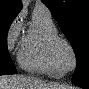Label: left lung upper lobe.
Masks as SVG:
<instances>
[{
	"label": "left lung upper lobe",
	"instance_id": "5c2ea615",
	"mask_svg": "<svg viewBox=\"0 0 89 89\" xmlns=\"http://www.w3.org/2000/svg\"><path fill=\"white\" fill-rule=\"evenodd\" d=\"M70 41L77 60L74 84L89 82V0H42Z\"/></svg>",
	"mask_w": 89,
	"mask_h": 89
}]
</instances>
